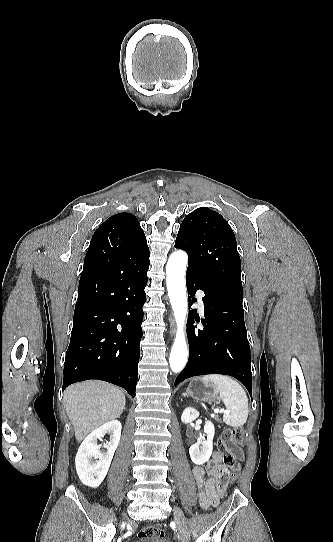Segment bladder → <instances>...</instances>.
Here are the masks:
<instances>
[{
	"instance_id": "1",
	"label": "bladder",
	"mask_w": 333,
	"mask_h": 542,
	"mask_svg": "<svg viewBox=\"0 0 333 542\" xmlns=\"http://www.w3.org/2000/svg\"><path fill=\"white\" fill-rule=\"evenodd\" d=\"M135 542H171V541L166 540V539H161V538H144V539H138Z\"/></svg>"
}]
</instances>
